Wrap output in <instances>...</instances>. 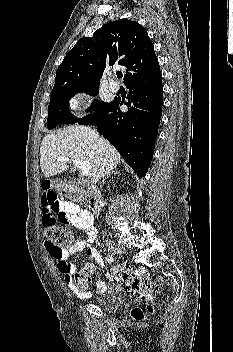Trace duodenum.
Segmentation results:
<instances>
[{
	"mask_svg": "<svg viewBox=\"0 0 233 352\" xmlns=\"http://www.w3.org/2000/svg\"><path fill=\"white\" fill-rule=\"evenodd\" d=\"M87 201L90 209L96 213L99 208L100 192L96 187H89L86 190Z\"/></svg>",
	"mask_w": 233,
	"mask_h": 352,
	"instance_id": "1",
	"label": "duodenum"
}]
</instances>
